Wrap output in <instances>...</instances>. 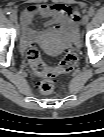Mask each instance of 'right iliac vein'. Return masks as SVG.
I'll list each match as a JSON object with an SVG mask.
<instances>
[{"label": "right iliac vein", "mask_w": 104, "mask_h": 137, "mask_svg": "<svg viewBox=\"0 0 104 137\" xmlns=\"http://www.w3.org/2000/svg\"><path fill=\"white\" fill-rule=\"evenodd\" d=\"M10 20L14 23L17 22L18 18H17V15L15 13H12L10 16H9Z\"/></svg>", "instance_id": "right-iliac-vein-1"}]
</instances>
